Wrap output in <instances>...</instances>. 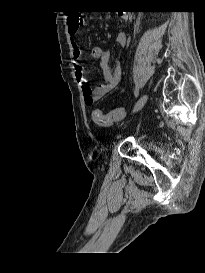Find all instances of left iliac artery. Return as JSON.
<instances>
[{"mask_svg":"<svg viewBox=\"0 0 205 273\" xmlns=\"http://www.w3.org/2000/svg\"><path fill=\"white\" fill-rule=\"evenodd\" d=\"M138 95H139V87L136 86V88H135V97H137Z\"/></svg>","mask_w":205,"mask_h":273,"instance_id":"obj_1","label":"left iliac artery"}]
</instances>
